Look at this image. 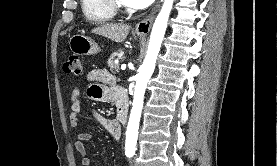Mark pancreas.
<instances>
[{
	"label": "pancreas",
	"mask_w": 277,
	"mask_h": 166,
	"mask_svg": "<svg viewBox=\"0 0 277 166\" xmlns=\"http://www.w3.org/2000/svg\"><path fill=\"white\" fill-rule=\"evenodd\" d=\"M122 56H123V51L122 50L115 51L114 53H112L110 55V58L108 59L107 63H108V66L110 67L111 72L118 71L119 64L115 63V59L116 58L121 59Z\"/></svg>",
	"instance_id": "obj_1"
}]
</instances>
